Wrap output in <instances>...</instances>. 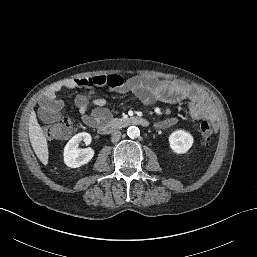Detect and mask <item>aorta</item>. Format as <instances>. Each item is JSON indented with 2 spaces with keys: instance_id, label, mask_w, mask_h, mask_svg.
<instances>
[{
  "instance_id": "obj_1",
  "label": "aorta",
  "mask_w": 257,
  "mask_h": 257,
  "mask_svg": "<svg viewBox=\"0 0 257 257\" xmlns=\"http://www.w3.org/2000/svg\"><path fill=\"white\" fill-rule=\"evenodd\" d=\"M127 135L132 139L137 138L140 136V130L136 126H130L127 129Z\"/></svg>"
}]
</instances>
